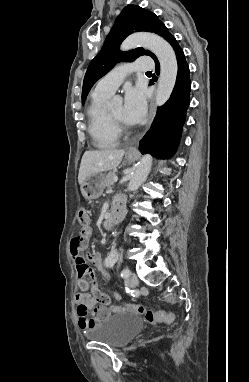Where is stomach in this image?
I'll return each mask as SVG.
<instances>
[{
  "mask_svg": "<svg viewBox=\"0 0 249 382\" xmlns=\"http://www.w3.org/2000/svg\"><path fill=\"white\" fill-rule=\"evenodd\" d=\"M126 159L129 162H133L135 161V156L127 155ZM103 181L104 175L102 173L97 172L89 175L81 186L82 196L86 200H94L100 197L104 190Z\"/></svg>",
  "mask_w": 249,
  "mask_h": 382,
  "instance_id": "1",
  "label": "stomach"
}]
</instances>
